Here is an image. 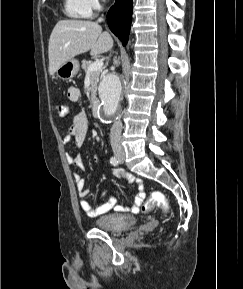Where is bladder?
I'll return each mask as SVG.
<instances>
[{
  "mask_svg": "<svg viewBox=\"0 0 243 289\" xmlns=\"http://www.w3.org/2000/svg\"><path fill=\"white\" fill-rule=\"evenodd\" d=\"M135 216L125 213H108L95 220L97 228L108 232H122L135 226Z\"/></svg>",
  "mask_w": 243,
  "mask_h": 289,
  "instance_id": "bladder-1",
  "label": "bladder"
}]
</instances>
